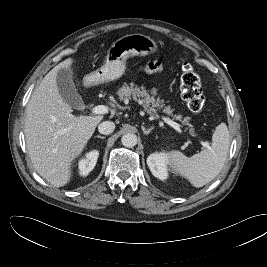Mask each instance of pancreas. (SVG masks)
Segmentation results:
<instances>
[{
  "label": "pancreas",
  "mask_w": 267,
  "mask_h": 267,
  "mask_svg": "<svg viewBox=\"0 0 267 267\" xmlns=\"http://www.w3.org/2000/svg\"><path fill=\"white\" fill-rule=\"evenodd\" d=\"M117 95L120 100L126 101L133 99L137 101L149 114H156L157 110H163L164 113L173 115V110L170 106H165L164 100L160 99L159 97L155 98V90L149 92L143 86H134V84L129 86L128 84H124L118 89ZM175 118L179 121H182V123L189 125L188 118H184L182 120L181 115H175Z\"/></svg>",
  "instance_id": "cf45deb5"
}]
</instances>
